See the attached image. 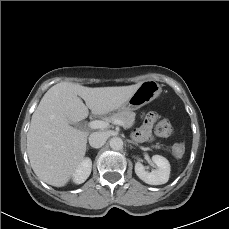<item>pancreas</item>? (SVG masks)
I'll return each mask as SVG.
<instances>
[{"mask_svg":"<svg viewBox=\"0 0 229 229\" xmlns=\"http://www.w3.org/2000/svg\"><path fill=\"white\" fill-rule=\"evenodd\" d=\"M107 122L113 123L115 120H121L125 128H130L134 124L135 113L131 111H121L105 118Z\"/></svg>","mask_w":229,"mask_h":229,"instance_id":"1","label":"pancreas"}]
</instances>
